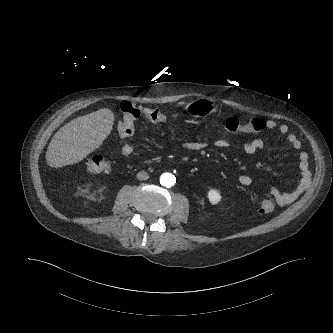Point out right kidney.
<instances>
[{
  "label": "right kidney",
  "instance_id": "1",
  "mask_svg": "<svg viewBox=\"0 0 333 333\" xmlns=\"http://www.w3.org/2000/svg\"><path fill=\"white\" fill-rule=\"evenodd\" d=\"M102 191H103V189H102V188L98 189V192H102Z\"/></svg>",
  "mask_w": 333,
  "mask_h": 333
}]
</instances>
